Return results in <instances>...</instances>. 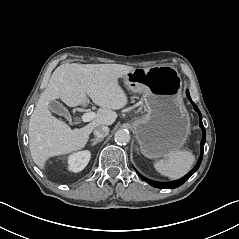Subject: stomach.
I'll return each instance as SVG.
<instances>
[{
  "instance_id": "stomach-1",
  "label": "stomach",
  "mask_w": 239,
  "mask_h": 239,
  "mask_svg": "<svg viewBox=\"0 0 239 239\" xmlns=\"http://www.w3.org/2000/svg\"><path fill=\"white\" fill-rule=\"evenodd\" d=\"M124 83L132 92L142 93L147 106V114L132 122L142 155L158 159L181 151L191 125L179 75L138 68L124 77Z\"/></svg>"
}]
</instances>
